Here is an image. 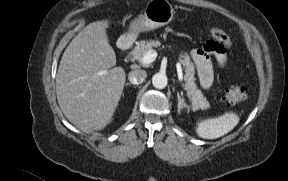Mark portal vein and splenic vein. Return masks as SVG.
I'll return each mask as SVG.
<instances>
[{
	"label": "portal vein and splenic vein",
	"mask_w": 288,
	"mask_h": 181,
	"mask_svg": "<svg viewBox=\"0 0 288 181\" xmlns=\"http://www.w3.org/2000/svg\"><path fill=\"white\" fill-rule=\"evenodd\" d=\"M157 55H158L157 51L150 50L145 55H143V57L140 59V62L141 64H144V65L150 64L156 59ZM176 68H177L178 79L182 81L183 73H182L181 64L179 62L176 63Z\"/></svg>",
	"instance_id": "1"
}]
</instances>
